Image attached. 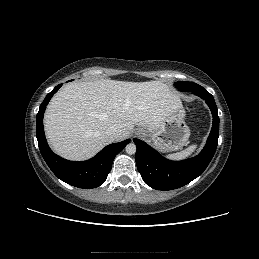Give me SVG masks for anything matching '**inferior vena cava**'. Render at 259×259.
<instances>
[{"label":"inferior vena cava","mask_w":259,"mask_h":259,"mask_svg":"<svg viewBox=\"0 0 259 259\" xmlns=\"http://www.w3.org/2000/svg\"><path fill=\"white\" fill-rule=\"evenodd\" d=\"M121 134V129L118 126L112 125L109 128L106 129L105 131V136L110 140V141H116L119 135Z\"/></svg>","instance_id":"602c4592"}]
</instances>
